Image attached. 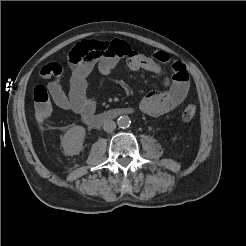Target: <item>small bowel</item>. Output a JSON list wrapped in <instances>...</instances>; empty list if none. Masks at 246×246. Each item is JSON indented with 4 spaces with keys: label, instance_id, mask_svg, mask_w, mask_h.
<instances>
[{
    "label": "small bowel",
    "instance_id": "1",
    "mask_svg": "<svg viewBox=\"0 0 246 246\" xmlns=\"http://www.w3.org/2000/svg\"><path fill=\"white\" fill-rule=\"evenodd\" d=\"M121 59H125L132 71L144 70L163 78L164 90L147 94L139 103V109L150 116H161L175 110L186 98L189 91V76L185 65L173 60L164 52L153 57L141 54L125 41H82L69 52L64 66L49 63L42 67L40 76L49 80L48 91L54 104L83 118L96 110V101L87 97V78L94 68L107 76ZM163 65H169L172 76L166 75ZM69 70L70 90L66 94L60 84L61 74Z\"/></svg>",
    "mask_w": 246,
    "mask_h": 246
}]
</instances>
